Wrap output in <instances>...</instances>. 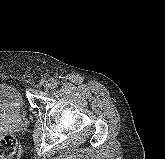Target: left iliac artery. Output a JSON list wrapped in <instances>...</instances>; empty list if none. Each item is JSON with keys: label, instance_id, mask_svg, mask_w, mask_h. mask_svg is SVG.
<instances>
[{"label": "left iliac artery", "instance_id": "obj_1", "mask_svg": "<svg viewBox=\"0 0 165 159\" xmlns=\"http://www.w3.org/2000/svg\"><path fill=\"white\" fill-rule=\"evenodd\" d=\"M52 88H55L57 86V82L56 81H52Z\"/></svg>", "mask_w": 165, "mask_h": 159}]
</instances>
